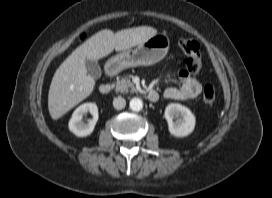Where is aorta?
<instances>
[{"label":"aorta","instance_id":"aorta-1","mask_svg":"<svg viewBox=\"0 0 272 198\" xmlns=\"http://www.w3.org/2000/svg\"><path fill=\"white\" fill-rule=\"evenodd\" d=\"M129 107H130V109L132 111L138 112V111L142 110V108H143V102L139 98H132L130 100Z\"/></svg>","mask_w":272,"mask_h":198}]
</instances>
